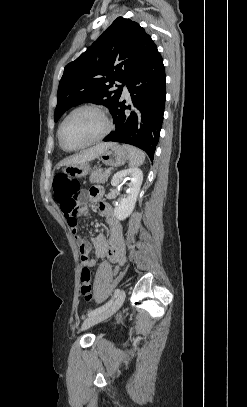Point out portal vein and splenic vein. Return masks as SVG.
Returning <instances> with one entry per match:
<instances>
[{"mask_svg":"<svg viewBox=\"0 0 247 407\" xmlns=\"http://www.w3.org/2000/svg\"><path fill=\"white\" fill-rule=\"evenodd\" d=\"M105 172H106V173H110V170H106Z\"/></svg>","mask_w":247,"mask_h":407,"instance_id":"1","label":"portal vein and splenic vein"}]
</instances>
